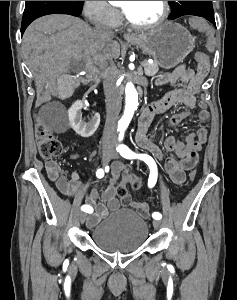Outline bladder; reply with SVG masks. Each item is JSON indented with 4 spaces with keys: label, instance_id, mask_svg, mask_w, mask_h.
<instances>
[{
    "label": "bladder",
    "instance_id": "31cf9c89",
    "mask_svg": "<svg viewBox=\"0 0 237 300\" xmlns=\"http://www.w3.org/2000/svg\"><path fill=\"white\" fill-rule=\"evenodd\" d=\"M148 234L147 221L138 213L125 209L94 226L90 238L104 251L130 253L144 245Z\"/></svg>",
    "mask_w": 237,
    "mask_h": 300
}]
</instances>
